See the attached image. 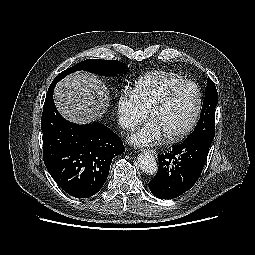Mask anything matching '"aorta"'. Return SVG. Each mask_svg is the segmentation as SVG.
<instances>
[{
    "mask_svg": "<svg viewBox=\"0 0 255 255\" xmlns=\"http://www.w3.org/2000/svg\"><path fill=\"white\" fill-rule=\"evenodd\" d=\"M140 169L147 175H155L158 171V165L155 156L151 152L141 153L138 158Z\"/></svg>",
    "mask_w": 255,
    "mask_h": 255,
    "instance_id": "762f6f07",
    "label": "aorta"
}]
</instances>
